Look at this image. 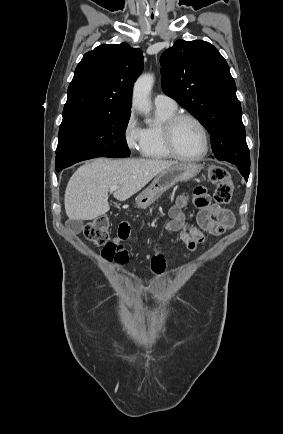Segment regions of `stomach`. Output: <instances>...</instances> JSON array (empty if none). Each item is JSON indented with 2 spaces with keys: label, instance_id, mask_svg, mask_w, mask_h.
<instances>
[{
  "label": "stomach",
  "instance_id": "obj_1",
  "mask_svg": "<svg viewBox=\"0 0 283 434\" xmlns=\"http://www.w3.org/2000/svg\"><path fill=\"white\" fill-rule=\"evenodd\" d=\"M202 169L195 163H177L160 172L153 182L140 193L135 201L138 207L144 208L153 203L166 190L178 182H186L195 177Z\"/></svg>",
  "mask_w": 283,
  "mask_h": 434
}]
</instances>
